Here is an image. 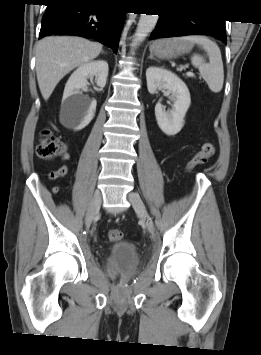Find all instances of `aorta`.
I'll return each mask as SVG.
<instances>
[{"mask_svg":"<svg viewBox=\"0 0 261 355\" xmlns=\"http://www.w3.org/2000/svg\"><path fill=\"white\" fill-rule=\"evenodd\" d=\"M158 15L141 14L134 35V44L139 45L155 28Z\"/></svg>","mask_w":261,"mask_h":355,"instance_id":"aorta-1","label":"aorta"}]
</instances>
